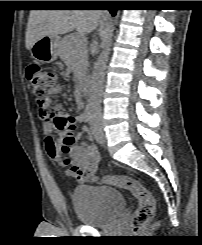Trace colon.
<instances>
[{"label": "colon", "mask_w": 202, "mask_h": 245, "mask_svg": "<svg viewBox=\"0 0 202 245\" xmlns=\"http://www.w3.org/2000/svg\"><path fill=\"white\" fill-rule=\"evenodd\" d=\"M26 77L31 84L33 96L36 99L39 114L44 122L52 123L53 127L65 134L62 140L61 152L67 154L70 147L75 143L72 132L77 127V120L72 116H56L50 108V97L56 94L61 86V73L49 70L39 64H30L26 70ZM58 153L56 149L51 150V155ZM65 165H69V160H64ZM72 171L76 168L72 167ZM104 183H115L130 190L138 201V206L132 216V232L134 235L140 233V229L149 223L155 213V203L150 192L137 181L126 175L106 174L101 177Z\"/></svg>", "instance_id": "colon-1"}]
</instances>
